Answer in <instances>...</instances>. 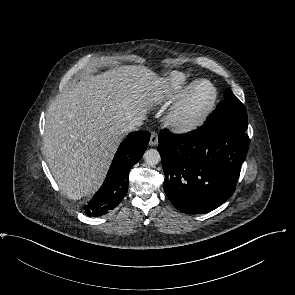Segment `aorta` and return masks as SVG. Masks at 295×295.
Returning <instances> with one entry per match:
<instances>
[{
    "label": "aorta",
    "instance_id": "aorta-1",
    "mask_svg": "<svg viewBox=\"0 0 295 295\" xmlns=\"http://www.w3.org/2000/svg\"><path fill=\"white\" fill-rule=\"evenodd\" d=\"M144 161L149 166H154L160 162V154L156 149H148L144 153Z\"/></svg>",
    "mask_w": 295,
    "mask_h": 295
}]
</instances>
